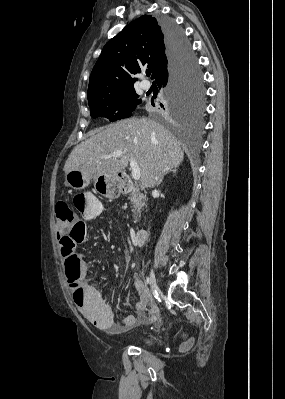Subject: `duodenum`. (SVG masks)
I'll list each match as a JSON object with an SVG mask.
<instances>
[{
    "mask_svg": "<svg viewBox=\"0 0 285 399\" xmlns=\"http://www.w3.org/2000/svg\"><path fill=\"white\" fill-rule=\"evenodd\" d=\"M129 187H130L129 184H126V188L128 189ZM147 236H148V230L146 228H140L135 233V242L137 244H141L146 240Z\"/></svg>",
    "mask_w": 285,
    "mask_h": 399,
    "instance_id": "duodenum-1",
    "label": "duodenum"
}]
</instances>
